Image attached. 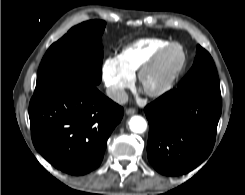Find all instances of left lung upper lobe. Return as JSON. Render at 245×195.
<instances>
[{
  "mask_svg": "<svg viewBox=\"0 0 245 195\" xmlns=\"http://www.w3.org/2000/svg\"><path fill=\"white\" fill-rule=\"evenodd\" d=\"M178 91L221 96L220 82L210 54L197 46L194 64L177 87Z\"/></svg>",
  "mask_w": 245,
  "mask_h": 195,
  "instance_id": "1",
  "label": "left lung upper lobe"
}]
</instances>
